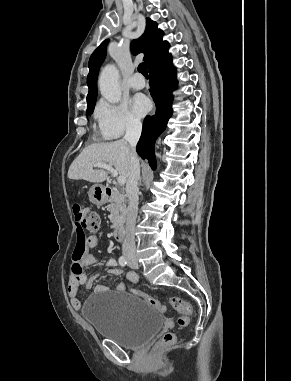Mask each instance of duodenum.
<instances>
[{"label":"duodenum","instance_id":"1","mask_svg":"<svg viewBox=\"0 0 291 381\" xmlns=\"http://www.w3.org/2000/svg\"><path fill=\"white\" fill-rule=\"evenodd\" d=\"M102 193L104 195V198L107 201L111 200L115 195V191L110 187L103 188ZM125 235H126L125 226L123 224L116 225L114 228L115 240L118 242H122L125 239Z\"/></svg>","mask_w":291,"mask_h":381}]
</instances>
